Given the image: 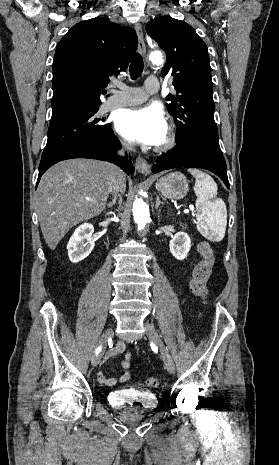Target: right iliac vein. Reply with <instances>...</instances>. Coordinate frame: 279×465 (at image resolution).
I'll list each match as a JSON object with an SVG mask.
<instances>
[{"mask_svg":"<svg viewBox=\"0 0 279 465\" xmlns=\"http://www.w3.org/2000/svg\"><path fill=\"white\" fill-rule=\"evenodd\" d=\"M112 336H113L112 328L106 329L105 332L102 334L99 340V346L101 347V351L92 358L93 366H97L100 363V360L102 358V349L106 346L108 339L111 338Z\"/></svg>","mask_w":279,"mask_h":465,"instance_id":"63e3f726","label":"right iliac vein"}]
</instances>
